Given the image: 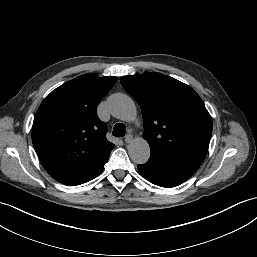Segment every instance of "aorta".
<instances>
[{"label":"aorta","instance_id":"aorta-1","mask_svg":"<svg viewBox=\"0 0 257 257\" xmlns=\"http://www.w3.org/2000/svg\"><path fill=\"white\" fill-rule=\"evenodd\" d=\"M108 109L114 117L123 121H130L136 115L135 103L126 94L112 95L108 100ZM128 154L134 163L145 164L150 157L148 142L142 138L135 139L128 146Z\"/></svg>","mask_w":257,"mask_h":257}]
</instances>
